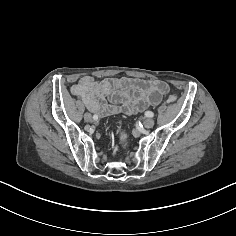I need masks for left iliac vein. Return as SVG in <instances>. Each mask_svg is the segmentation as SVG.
Wrapping results in <instances>:
<instances>
[{
    "mask_svg": "<svg viewBox=\"0 0 236 236\" xmlns=\"http://www.w3.org/2000/svg\"><path fill=\"white\" fill-rule=\"evenodd\" d=\"M154 120L152 118H148L144 121V126L146 128H152L154 126Z\"/></svg>",
    "mask_w": 236,
    "mask_h": 236,
    "instance_id": "1",
    "label": "left iliac vein"
}]
</instances>
